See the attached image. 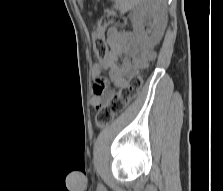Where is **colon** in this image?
Listing matches in <instances>:
<instances>
[{
  "mask_svg": "<svg viewBox=\"0 0 223 191\" xmlns=\"http://www.w3.org/2000/svg\"><path fill=\"white\" fill-rule=\"evenodd\" d=\"M115 21L120 27L126 25V20L122 17H103L98 21L97 29L93 33V46L96 54V60L99 62H91L94 67L92 78H101L105 72L108 46L105 38V32L111 22ZM142 87V79L140 76L132 77L117 94L112 96L107 105L100 108L96 114V123L98 126L109 124L117 115L122 113L129 103L137 96Z\"/></svg>",
  "mask_w": 223,
  "mask_h": 191,
  "instance_id": "obj_1",
  "label": "colon"
}]
</instances>
